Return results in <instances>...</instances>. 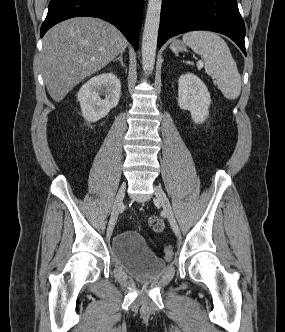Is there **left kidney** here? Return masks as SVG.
Listing matches in <instances>:
<instances>
[{
	"instance_id": "left-kidney-1",
	"label": "left kidney",
	"mask_w": 285,
	"mask_h": 332,
	"mask_svg": "<svg viewBox=\"0 0 285 332\" xmlns=\"http://www.w3.org/2000/svg\"><path fill=\"white\" fill-rule=\"evenodd\" d=\"M210 93L203 81L193 73H185L178 80V105L191 113L192 120L203 123L209 115Z\"/></svg>"
}]
</instances>
